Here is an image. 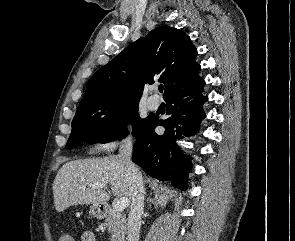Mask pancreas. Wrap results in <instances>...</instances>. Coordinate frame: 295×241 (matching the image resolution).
<instances>
[{
    "label": "pancreas",
    "mask_w": 295,
    "mask_h": 241,
    "mask_svg": "<svg viewBox=\"0 0 295 241\" xmlns=\"http://www.w3.org/2000/svg\"><path fill=\"white\" fill-rule=\"evenodd\" d=\"M104 226L108 228L111 234V241H124L127 231L126 217L115 207L110 208L104 222Z\"/></svg>",
    "instance_id": "cf45deb5"
}]
</instances>
